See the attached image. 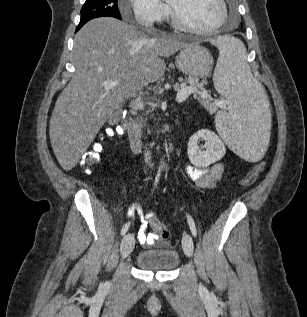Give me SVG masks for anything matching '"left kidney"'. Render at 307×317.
<instances>
[{
  "mask_svg": "<svg viewBox=\"0 0 307 317\" xmlns=\"http://www.w3.org/2000/svg\"><path fill=\"white\" fill-rule=\"evenodd\" d=\"M200 140L205 141L204 148L199 146ZM226 148L222 140L211 130L203 129L193 134L188 142V157L197 167H207L225 155Z\"/></svg>",
  "mask_w": 307,
  "mask_h": 317,
  "instance_id": "5707ae66",
  "label": "left kidney"
}]
</instances>
